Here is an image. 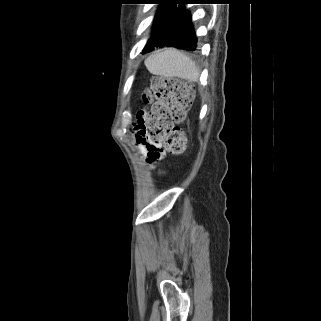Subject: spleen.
Here are the masks:
<instances>
[{
	"mask_svg": "<svg viewBox=\"0 0 321 321\" xmlns=\"http://www.w3.org/2000/svg\"><path fill=\"white\" fill-rule=\"evenodd\" d=\"M144 64L151 74L165 78L178 77L196 82L200 75L195 62L184 53L173 48L153 52Z\"/></svg>",
	"mask_w": 321,
	"mask_h": 321,
	"instance_id": "1",
	"label": "spleen"
}]
</instances>
